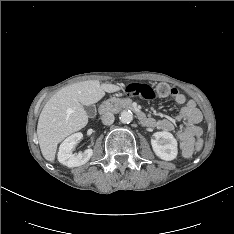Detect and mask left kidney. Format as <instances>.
Listing matches in <instances>:
<instances>
[{
    "instance_id": "obj_1",
    "label": "left kidney",
    "mask_w": 234,
    "mask_h": 234,
    "mask_svg": "<svg viewBox=\"0 0 234 234\" xmlns=\"http://www.w3.org/2000/svg\"><path fill=\"white\" fill-rule=\"evenodd\" d=\"M177 140L167 131L156 132L151 139L154 153L165 161L174 160L178 154Z\"/></svg>"
}]
</instances>
